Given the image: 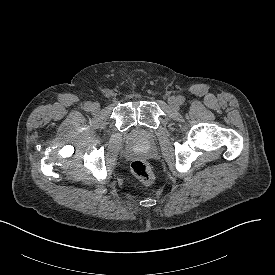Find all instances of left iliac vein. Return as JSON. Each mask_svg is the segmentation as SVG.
I'll list each match as a JSON object with an SVG mask.
<instances>
[{"label": "left iliac vein", "instance_id": "1", "mask_svg": "<svg viewBox=\"0 0 275 275\" xmlns=\"http://www.w3.org/2000/svg\"><path fill=\"white\" fill-rule=\"evenodd\" d=\"M168 103L175 110H177L179 108V105H180L178 99L174 96H172L168 99Z\"/></svg>", "mask_w": 275, "mask_h": 275}]
</instances>
